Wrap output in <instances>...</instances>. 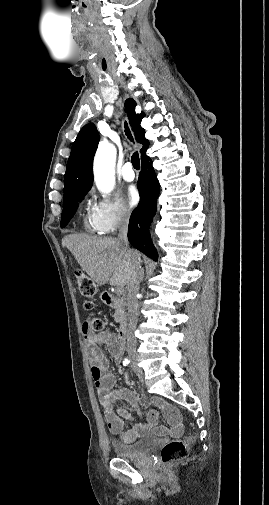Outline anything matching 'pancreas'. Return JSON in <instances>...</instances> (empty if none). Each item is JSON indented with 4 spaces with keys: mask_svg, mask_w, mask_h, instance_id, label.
<instances>
[{
    "mask_svg": "<svg viewBox=\"0 0 269 505\" xmlns=\"http://www.w3.org/2000/svg\"><path fill=\"white\" fill-rule=\"evenodd\" d=\"M114 320L117 323L123 324L125 320V312L122 307H118L114 313Z\"/></svg>",
    "mask_w": 269,
    "mask_h": 505,
    "instance_id": "cf45deb5",
    "label": "pancreas"
}]
</instances>
